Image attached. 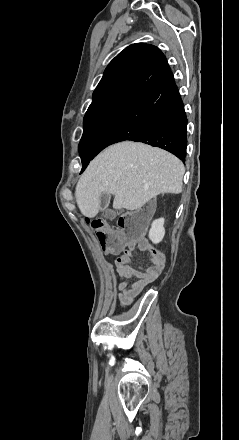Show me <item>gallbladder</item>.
Returning <instances> with one entry per match:
<instances>
[{
	"mask_svg": "<svg viewBox=\"0 0 239 440\" xmlns=\"http://www.w3.org/2000/svg\"><path fill=\"white\" fill-rule=\"evenodd\" d=\"M110 200L111 194H109V192H102L99 198V210H101V212H104V210H106Z\"/></svg>",
	"mask_w": 239,
	"mask_h": 440,
	"instance_id": "1",
	"label": "gallbladder"
}]
</instances>
